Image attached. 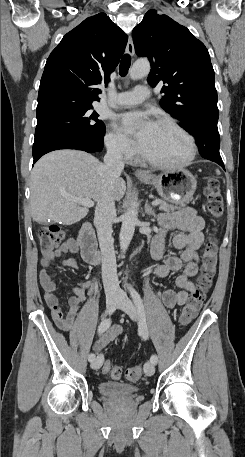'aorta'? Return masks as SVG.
<instances>
[{
  "instance_id": "1",
  "label": "aorta",
  "mask_w": 245,
  "mask_h": 457,
  "mask_svg": "<svg viewBox=\"0 0 245 457\" xmlns=\"http://www.w3.org/2000/svg\"><path fill=\"white\" fill-rule=\"evenodd\" d=\"M150 72V64L148 60H137L130 69V78L131 79H141L147 76ZM138 220V210L137 204L132 203L126 210L122 226L120 230L119 242L121 249V257L125 254L132 237L134 235L135 226Z\"/></svg>"
}]
</instances>
